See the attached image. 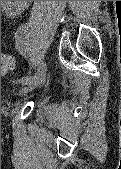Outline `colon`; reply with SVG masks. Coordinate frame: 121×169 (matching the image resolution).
<instances>
[{
    "label": "colon",
    "instance_id": "colon-1",
    "mask_svg": "<svg viewBox=\"0 0 121 169\" xmlns=\"http://www.w3.org/2000/svg\"><path fill=\"white\" fill-rule=\"evenodd\" d=\"M15 67V59L9 53H4L1 56V73L5 74L6 72L12 70Z\"/></svg>",
    "mask_w": 121,
    "mask_h": 169
}]
</instances>
